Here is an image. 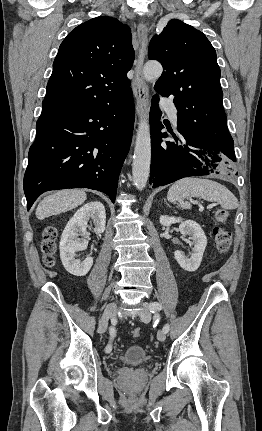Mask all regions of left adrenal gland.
<instances>
[{
	"label": "left adrenal gland",
	"instance_id": "left-adrenal-gland-1",
	"mask_svg": "<svg viewBox=\"0 0 262 431\" xmlns=\"http://www.w3.org/2000/svg\"><path fill=\"white\" fill-rule=\"evenodd\" d=\"M164 202H165V204H167V205H168V203H167V200H166V199H164Z\"/></svg>",
	"mask_w": 262,
	"mask_h": 431
}]
</instances>
